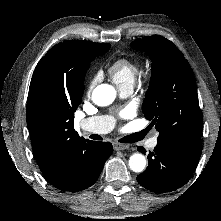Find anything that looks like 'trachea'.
<instances>
[{
	"mask_svg": "<svg viewBox=\"0 0 221 221\" xmlns=\"http://www.w3.org/2000/svg\"><path fill=\"white\" fill-rule=\"evenodd\" d=\"M90 138L94 139V140H101V137L99 135H96V134L90 135ZM119 142H121V143H132V142H134V139L131 136H127V137H124V138L120 139Z\"/></svg>",
	"mask_w": 221,
	"mask_h": 221,
	"instance_id": "obj_1",
	"label": "trachea"
}]
</instances>
